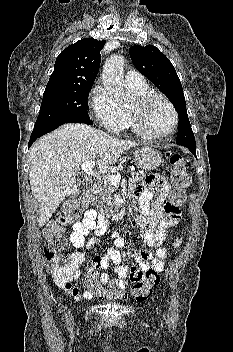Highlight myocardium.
Segmentation results:
<instances>
[{
    "label": "myocardium",
    "instance_id": "f54148a6",
    "mask_svg": "<svg viewBox=\"0 0 233 352\" xmlns=\"http://www.w3.org/2000/svg\"><path fill=\"white\" fill-rule=\"evenodd\" d=\"M154 99H160L164 101L166 105L169 107L173 116V121L170 129L164 133H152L147 129H145V127L142 124L141 111L148 103H150ZM136 103H137V108L135 110L128 111L131 127L135 133L148 139H163L168 137L175 131L178 125V113L173 103L166 96L159 93H146L144 95L138 96Z\"/></svg>",
    "mask_w": 233,
    "mask_h": 352
}]
</instances>
